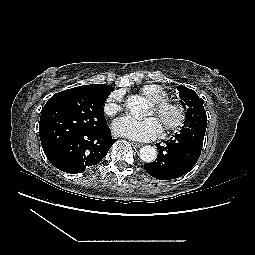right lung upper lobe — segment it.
Instances as JSON below:
<instances>
[{"mask_svg": "<svg viewBox=\"0 0 255 255\" xmlns=\"http://www.w3.org/2000/svg\"><path fill=\"white\" fill-rule=\"evenodd\" d=\"M70 91H95V92H105L111 93L114 88L110 85L106 84H91V85H84L75 88L68 89Z\"/></svg>", "mask_w": 255, "mask_h": 255, "instance_id": "right-lung-upper-lobe-1", "label": "right lung upper lobe"}]
</instances>
